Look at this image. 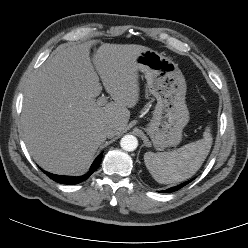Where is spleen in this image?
<instances>
[{"label":"spleen","mask_w":248,"mask_h":248,"mask_svg":"<svg viewBox=\"0 0 248 248\" xmlns=\"http://www.w3.org/2000/svg\"><path fill=\"white\" fill-rule=\"evenodd\" d=\"M207 127L203 139L171 152H146L144 162L152 177L161 184H171L192 177L202 166L212 146V134Z\"/></svg>","instance_id":"3e777b00"}]
</instances>
